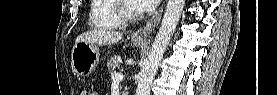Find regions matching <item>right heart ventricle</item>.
<instances>
[{
    "instance_id": "obj_1",
    "label": "right heart ventricle",
    "mask_w": 277,
    "mask_h": 95,
    "mask_svg": "<svg viewBox=\"0 0 277 95\" xmlns=\"http://www.w3.org/2000/svg\"><path fill=\"white\" fill-rule=\"evenodd\" d=\"M116 0H92L89 14V26L93 29L112 30L122 25L113 6Z\"/></svg>"
}]
</instances>
